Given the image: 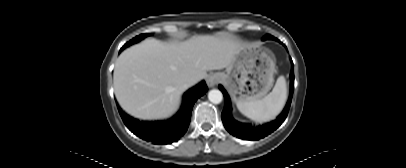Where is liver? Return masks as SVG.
Here are the masks:
<instances>
[{"label": "liver", "mask_w": 406, "mask_h": 168, "mask_svg": "<svg viewBox=\"0 0 406 168\" xmlns=\"http://www.w3.org/2000/svg\"><path fill=\"white\" fill-rule=\"evenodd\" d=\"M244 46L213 35H197L180 43L146 39L123 51L116 61L117 101L136 118H167L177 111L182 93L191 86L186 85L187 78L196 77L198 82L207 71L228 68Z\"/></svg>", "instance_id": "6515ba94"}]
</instances>
